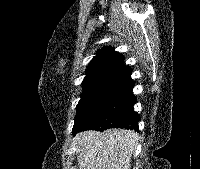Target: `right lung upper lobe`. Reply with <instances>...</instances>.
<instances>
[{
    "instance_id": "obj_1",
    "label": "right lung upper lobe",
    "mask_w": 200,
    "mask_h": 169,
    "mask_svg": "<svg viewBox=\"0 0 200 169\" xmlns=\"http://www.w3.org/2000/svg\"><path fill=\"white\" fill-rule=\"evenodd\" d=\"M131 68L124 63V56L106 46L96 53L82 82L84 90L100 85H118L131 79Z\"/></svg>"
}]
</instances>
